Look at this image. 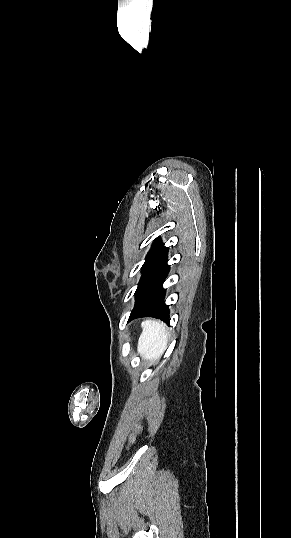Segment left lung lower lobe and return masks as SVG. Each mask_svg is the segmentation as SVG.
<instances>
[{
    "label": "left lung lower lobe",
    "instance_id": "obj_1",
    "mask_svg": "<svg viewBox=\"0 0 291 538\" xmlns=\"http://www.w3.org/2000/svg\"><path fill=\"white\" fill-rule=\"evenodd\" d=\"M168 272L166 250L143 272L135 292L136 302L129 320L153 317L169 323V309L164 302L165 289L162 286Z\"/></svg>",
    "mask_w": 291,
    "mask_h": 538
}]
</instances>
